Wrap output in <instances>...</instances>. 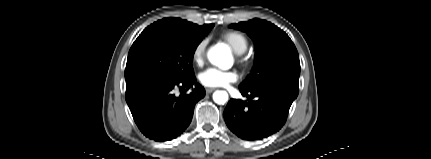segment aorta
Returning <instances> with one entry per match:
<instances>
[{
    "label": "aorta",
    "mask_w": 431,
    "mask_h": 159,
    "mask_svg": "<svg viewBox=\"0 0 431 159\" xmlns=\"http://www.w3.org/2000/svg\"><path fill=\"white\" fill-rule=\"evenodd\" d=\"M208 59L213 64L220 68H227L231 63V52L224 45H216L208 51ZM213 100L217 104H225L228 101V93L226 91H216L213 94Z\"/></svg>",
    "instance_id": "aorta-1"
}]
</instances>
